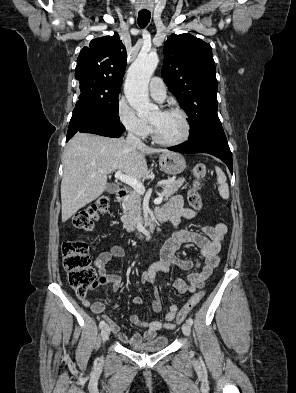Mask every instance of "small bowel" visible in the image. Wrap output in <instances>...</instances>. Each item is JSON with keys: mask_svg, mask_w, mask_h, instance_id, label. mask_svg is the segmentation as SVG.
<instances>
[{"mask_svg": "<svg viewBox=\"0 0 296 393\" xmlns=\"http://www.w3.org/2000/svg\"><path fill=\"white\" fill-rule=\"evenodd\" d=\"M162 210L175 227H178L182 219L190 220L199 215L197 211L184 206L181 196L172 197ZM226 233L227 227L222 222L204 226L201 233L177 229L173 236L169 238L162 247L161 260L155 263L149 270L142 273V282L153 285L156 281V274L158 272L168 273L171 267L174 266L184 270H191L185 278H178L174 281L173 286L179 293H193L197 289H201L205 280L209 278L213 270L219 264L218 253L222 248L223 239ZM185 243L194 244L200 249L201 256L204 260L203 264L198 260L191 261L181 259L176 255L181 245ZM124 256L125 249L119 245H112L99 254L95 260V266L99 274L97 286L109 284L113 292H118L121 289L120 276L114 273H108L106 267L113 258H122ZM80 299L82 304L89 307L95 314H102L107 309V305L102 301L92 302L87 296L80 297ZM132 302L134 304H142L143 300L141 297L136 296L132 299ZM162 309L161 295L157 290H154L151 310L154 312H161ZM177 312L178 306L176 304H171L164 315V321L147 322L137 315H132L130 317L132 324L136 327L145 329L143 334L135 333L132 336H127L122 333L119 326L109 316L103 315V319L107 322L110 330L116 334L122 342L130 346H136L155 338L157 331L161 329L174 328L175 324H173L172 321L175 319Z\"/></svg>", "mask_w": 296, "mask_h": 393, "instance_id": "1", "label": "small bowel"}]
</instances>
